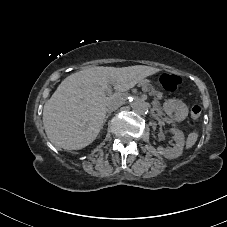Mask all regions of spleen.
Instances as JSON below:
<instances>
[{"label":"spleen","mask_w":227,"mask_h":227,"mask_svg":"<svg viewBox=\"0 0 227 227\" xmlns=\"http://www.w3.org/2000/svg\"><path fill=\"white\" fill-rule=\"evenodd\" d=\"M198 132H190L188 135H187V138H186V142H185V149L186 150H189L191 149L194 144L197 142L198 140Z\"/></svg>","instance_id":"3e777b00"}]
</instances>
